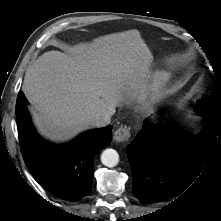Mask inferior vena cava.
Segmentation results:
<instances>
[{
  "label": "inferior vena cava",
  "instance_id": "inferior-vena-cava-1",
  "mask_svg": "<svg viewBox=\"0 0 221 221\" xmlns=\"http://www.w3.org/2000/svg\"><path fill=\"white\" fill-rule=\"evenodd\" d=\"M115 113V107L110 106L107 110L99 111L92 115L89 124L92 127H105L110 124L111 116Z\"/></svg>",
  "mask_w": 221,
  "mask_h": 221
}]
</instances>
